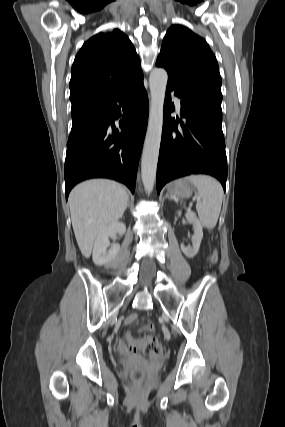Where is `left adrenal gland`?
I'll return each instance as SVG.
<instances>
[{"instance_id":"obj_1","label":"left adrenal gland","mask_w":285,"mask_h":427,"mask_svg":"<svg viewBox=\"0 0 285 427\" xmlns=\"http://www.w3.org/2000/svg\"><path fill=\"white\" fill-rule=\"evenodd\" d=\"M165 198H168L169 200H171V198H170L169 194H166V195H165Z\"/></svg>"}]
</instances>
